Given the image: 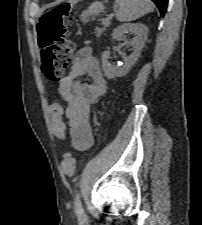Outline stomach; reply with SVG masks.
Masks as SVG:
<instances>
[{
  "instance_id": "obj_1",
  "label": "stomach",
  "mask_w": 202,
  "mask_h": 225,
  "mask_svg": "<svg viewBox=\"0 0 202 225\" xmlns=\"http://www.w3.org/2000/svg\"><path fill=\"white\" fill-rule=\"evenodd\" d=\"M107 0H105L106 2ZM104 10V4L101 1L93 2L86 10L80 15V20L85 22L92 15H98Z\"/></svg>"
}]
</instances>
